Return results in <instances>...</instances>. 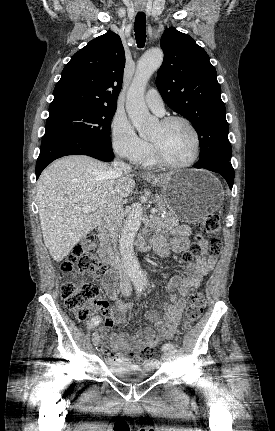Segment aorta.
I'll return each instance as SVG.
<instances>
[{
    "label": "aorta",
    "mask_w": 275,
    "mask_h": 431,
    "mask_svg": "<svg viewBox=\"0 0 275 431\" xmlns=\"http://www.w3.org/2000/svg\"><path fill=\"white\" fill-rule=\"evenodd\" d=\"M162 62L163 52L160 49L147 51L138 62L127 93L126 111L133 126L142 137H146L156 125V118L150 115L145 104L144 93L151 75L161 66ZM142 216V204H133L122 228L119 241L123 265L135 284H141L145 281V276L133 248L134 238L140 228Z\"/></svg>",
    "instance_id": "aorta-1"
}]
</instances>
